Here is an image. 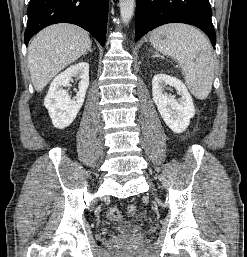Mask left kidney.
<instances>
[{"mask_svg":"<svg viewBox=\"0 0 247 257\" xmlns=\"http://www.w3.org/2000/svg\"><path fill=\"white\" fill-rule=\"evenodd\" d=\"M167 85L174 87L179 100L164 91ZM152 96L165 124L175 133L184 132L195 115L193 100L185 84L175 77L157 74L152 79Z\"/></svg>","mask_w":247,"mask_h":257,"instance_id":"obj_1","label":"left kidney"}]
</instances>
